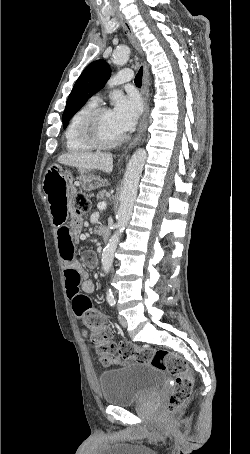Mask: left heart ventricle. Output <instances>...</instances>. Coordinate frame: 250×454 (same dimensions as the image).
I'll return each mask as SVG.
<instances>
[{"label": "left heart ventricle", "instance_id": "left-heart-ventricle-1", "mask_svg": "<svg viewBox=\"0 0 250 454\" xmlns=\"http://www.w3.org/2000/svg\"><path fill=\"white\" fill-rule=\"evenodd\" d=\"M99 133L104 140H114L123 135L117 128L111 111L105 112L99 120Z\"/></svg>", "mask_w": 250, "mask_h": 454}]
</instances>
